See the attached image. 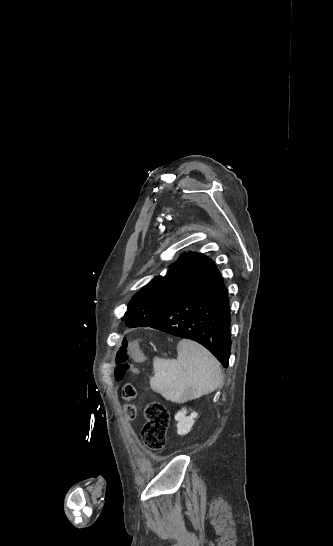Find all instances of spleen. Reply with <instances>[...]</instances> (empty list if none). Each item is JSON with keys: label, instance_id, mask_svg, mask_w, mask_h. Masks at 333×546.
<instances>
[{"label": "spleen", "instance_id": "obj_1", "mask_svg": "<svg viewBox=\"0 0 333 546\" xmlns=\"http://www.w3.org/2000/svg\"><path fill=\"white\" fill-rule=\"evenodd\" d=\"M177 359H153L151 388L172 402L182 403L218 389L223 383L216 358L198 343L183 339Z\"/></svg>", "mask_w": 333, "mask_h": 546}]
</instances>
